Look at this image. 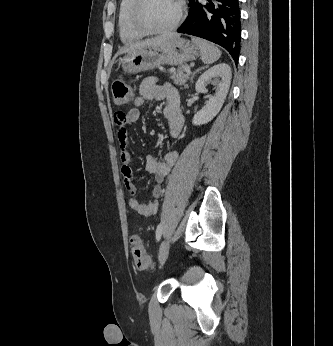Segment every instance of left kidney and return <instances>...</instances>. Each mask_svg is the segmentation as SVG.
Returning a JSON list of instances; mask_svg holds the SVG:
<instances>
[{"mask_svg":"<svg viewBox=\"0 0 333 346\" xmlns=\"http://www.w3.org/2000/svg\"><path fill=\"white\" fill-rule=\"evenodd\" d=\"M231 77V68L226 63L214 65L199 77L195 85L197 92L206 93V86L212 84L216 87V93L209 99L207 104L194 115L192 120L194 125L206 124L219 113L226 99Z\"/></svg>","mask_w":333,"mask_h":346,"instance_id":"5707ae66","label":"left kidney"}]
</instances>
